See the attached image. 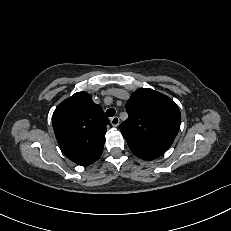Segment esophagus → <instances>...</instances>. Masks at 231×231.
Here are the masks:
<instances>
[{
  "label": "esophagus",
  "mask_w": 231,
  "mask_h": 231,
  "mask_svg": "<svg viewBox=\"0 0 231 231\" xmlns=\"http://www.w3.org/2000/svg\"><path fill=\"white\" fill-rule=\"evenodd\" d=\"M110 122H111L112 126L117 127L120 123V119H119V117L115 116V117L111 118Z\"/></svg>",
  "instance_id": "esophagus-1"
}]
</instances>
